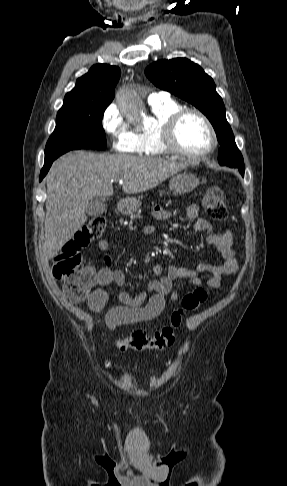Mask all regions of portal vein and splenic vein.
I'll list each match as a JSON object with an SVG mask.
<instances>
[{"mask_svg": "<svg viewBox=\"0 0 287 486\" xmlns=\"http://www.w3.org/2000/svg\"><path fill=\"white\" fill-rule=\"evenodd\" d=\"M118 182H119V184H123V180L122 179L118 180Z\"/></svg>", "mask_w": 287, "mask_h": 486, "instance_id": "portal-vein-and-splenic-vein-1", "label": "portal vein and splenic vein"}]
</instances>
